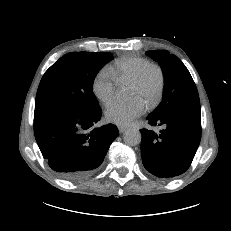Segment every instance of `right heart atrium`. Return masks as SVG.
<instances>
[{
    "instance_id": "right-heart-atrium-1",
    "label": "right heart atrium",
    "mask_w": 231,
    "mask_h": 231,
    "mask_svg": "<svg viewBox=\"0 0 231 231\" xmlns=\"http://www.w3.org/2000/svg\"><path fill=\"white\" fill-rule=\"evenodd\" d=\"M92 87L95 96L104 104H109L115 97L116 81L108 69H103L97 73Z\"/></svg>"
}]
</instances>
